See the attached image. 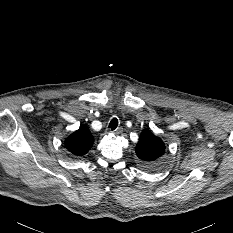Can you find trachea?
<instances>
[{
  "instance_id": "obj_1",
  "label": "trachea",
  "mask_w": 233,
  "mask_h": 233,
  "mask_svg": "<svg viewBox=\"0 0 233 233\" xmlns=\"http://www.w3.org/2000/svg\"><path fill=\"white\" fill-rule=\"evenodd\" d=\"M118 126V120L117 118H113L111 121H110V124H109V128H111V130H115Z\"/></svg>"
}]
</instances>
